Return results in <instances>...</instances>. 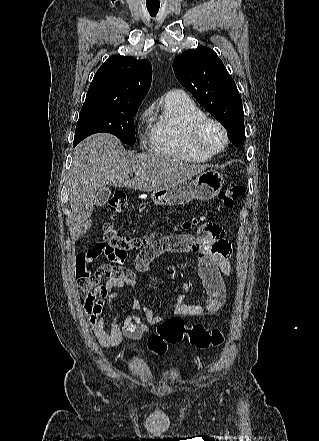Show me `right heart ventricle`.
<instances>
[{"label": "right heart ventricle", "mask_w": 319, "mask_h": 441, "mask_svg": "<svg viewBox=\"0 0 319 441\" xmlns=\"http://www.w3.org/2000/svg\"><path fill=\"white\" fill-rule=\"evenodd\" d=\"M203 110L188 96H166L162 112L150 126V150L158 155L189 162H205L212 155L195 149L191 143V129Z\"/></svg>", "instance_id": "e07e8e85"}]
</instances>
